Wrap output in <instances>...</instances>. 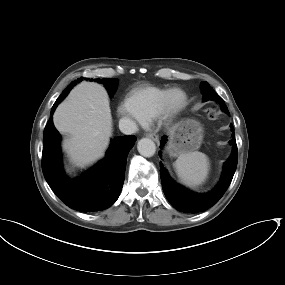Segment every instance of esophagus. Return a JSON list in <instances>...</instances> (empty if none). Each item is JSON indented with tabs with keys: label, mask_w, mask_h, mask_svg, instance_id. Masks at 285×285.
Returning a JSON list of instances; mask_svg holds the SVG:
<instances>
[{
	"label": "esophagus",
	"mask_w": 285,
	"mask_h": 285,
	"mask_svg": "<svg viewBox=\"0 0 285 285\" xmlns=\"http://www.w3.org/2000/svg\"><path fill=\"white\" fill-rule=\"evenodd\" d=\"M148 137L151 138L155 142H159V137L156 134H149Z\"/></svg>",
	"instance_id": "34e87169"
}]
</instances>
